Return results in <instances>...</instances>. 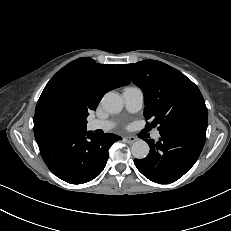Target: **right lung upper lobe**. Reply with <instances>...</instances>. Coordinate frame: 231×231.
Returning <instances> with one entry per match:
<instances>
[{
    "label": "right lung upper lobe",
    "mask_w": 231,
    "mask_h": 231,
    "mask_svg": "<svg viewBox=\"0 0 231 231\" xmlns=\"http://www.w3.org/2000/svg\"><path fill=\"white\" fill-rule=\"evenodd\" d=\"M129 83L119 65L96 64L89 57L70 62L51 78L37 102L34 115L36 141L53 135L50 119L60 110L69 117L70 133L86 131V118L91 110H96L104 94Z\"/></svg>",
    "instance_id": "1"
}]
</instances>
